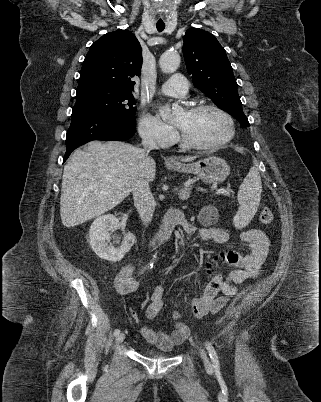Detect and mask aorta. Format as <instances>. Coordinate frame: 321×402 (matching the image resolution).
<instances>
[{
	"instance_id": "1",
	"label": "aorta",
	"mask_w": 321,
	"mask_h": 402,
	"mask_svg": "<svg viewBox=\"0 0 321 402\" xmlns=\"http://www.w3.org/2000/svg\"><path fill=\"white\" fill-rule=\"evenodd\" d=\"M159 65L164 73H174L180 65V55L175 51H166L161 55ZM178 109L173 107L174 112Z\"/></svg>"
}]
</instances>
